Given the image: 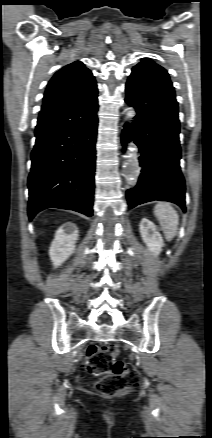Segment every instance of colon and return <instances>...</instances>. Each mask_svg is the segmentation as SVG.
I'll return each mask as SVG.
<instances>
[{"label":"colon","instance_id":"colon-1","mask_svg":"<svg viewBox=\"0 0 212 438\" xmlns=\"http://www.w3.org/2000/svg\"><path fill=\"white\" fill-rule=\"evenodd\" d=\"M119 349L116 345H92L87 350L86 371L100 377L96 389L105 395H116L136 388L140 384V374L130 363L117 359Z\"/></svg>","mask_w":212,"mask_h":438}]
</instances>
